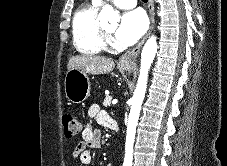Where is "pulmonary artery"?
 <instances>
[{
    "label": "pulmonary artery",
    "instance_id": "obj_1",
    "mask_svg": "<svg viewBox=\"0 0 227 166\" xmlns=\"http://www.w3.org/2000/svg\"><path fill=\"white\" fill-rule=\"evenodd\" d=\"M101 3L102 0H94ZM114 4L121 9H132L137 5V0H113Z\"/></svg>",
    "mask_w": 227,
    "mask_h": 166
}]
</instances>
